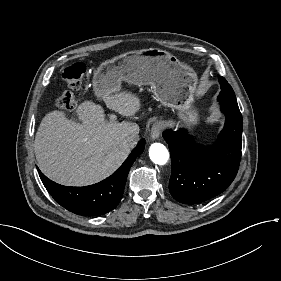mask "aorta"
I'll return each mask as SVG.
<instances>
[{
    "label": "aorta",
    "mask_w": 281,
    "mask_h": 281,
    "mask_svg": "<svg viewBox=\"0 0 281 281\" xmlns=\"http://www.w3.org/2000/svg\"><path fill=\"white\" fill-rule=\"evenodd\" d=\"M149 157L153 163L164 165L169 159V152L163 144L153 143L149 148Z\"/></svg>",
    "instance_id": "1"
}]
</instances>
